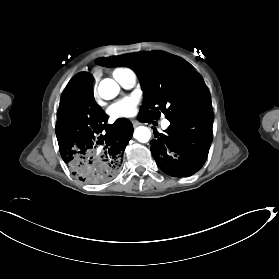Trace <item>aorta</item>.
I'll return each mask as SVG.
<instances>
[{"instance_id": "aorta-1", "label": "aorta", "mask_w": 279, "mask_h": 279, "mask_svg": "<svg viewBox=\"0 0 279 279\" xmlns=\"http://www.w3.org/2000/svg\"><path fill=\"white\" fill-rule=\"evenodd\" d=\"M120 91L119 85L112 79H103L98 86V93L101 98L111 100L115 98ZM134 138L141 143H146L151 138V131L145 126H139L134 131Z\"/></svg>"}]
</instances>
